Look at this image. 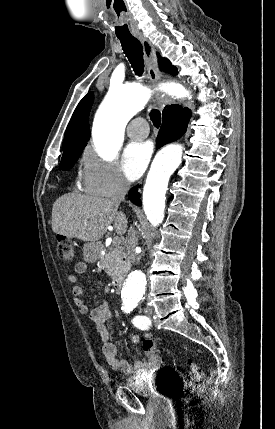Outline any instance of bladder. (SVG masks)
<instances>
[{
	"mask_svg": "<svg viewBox=\"0 0 275 429\" xmlns=\"http://www.w3.org/2000/svg\"><path fill=\"white\" fill-rule=\"evenodd\" d=\"M128 386L138 398H149L150 403H177L180 398L178 377L130 378Z\"/></svg>",
	"mask_w": 275,
	"mask_h": 429,
	"instance_id": "obj_1",
	"label": "bladder"
}]
</instances>
